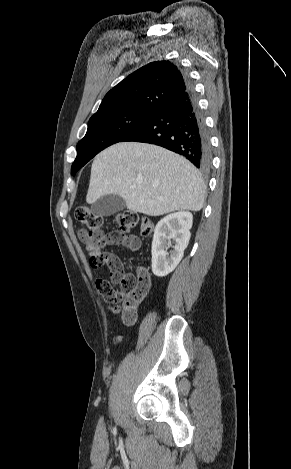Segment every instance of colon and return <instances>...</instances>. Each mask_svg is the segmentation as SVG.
<instances>
[{
	"label": "colon",
	"instance_id": "obj_1",
	"mask_svg": "<svg viewBox=\"0 0 291 469\" xmlns=\"http://www.w3.org/2000/svg\"><path fill=\"white\" fill-rule=\"evenodd\" d=\"M76 219L85 226L88 240L95 246L102 247L109 243L128 244L130 242L129 231L140 226L143 236L152 232V221L134 211H123L117 215L118 230L105 232L102 229V217L86 206L75 210ZM92 267L97 268L107 264L110 269V277L119 287L114 289L107 281L97 284V289L104 299L116 304V311L121 314L125 325H133L137 319V309L144 297L146 290L138 285L140 277H145V271L139 270L137 275L125 272L121 263H107L102 257L90 258ZM118 338L116 339V341Z\"/></svg>",
	"mask_w": 291,
	"mask_h": 469
}]
</instances>
